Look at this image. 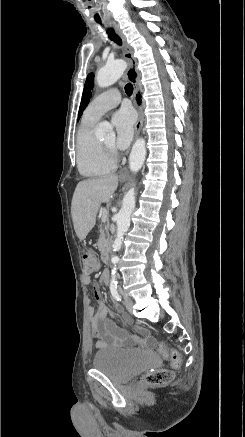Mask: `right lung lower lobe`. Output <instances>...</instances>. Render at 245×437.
Wrapping results in <instances>:
<instances>
[{"label": "right lung lower lobe", "instance_id": "1", "mask_svg": "<svg viewBox=\"0 0 245 437\" xmlns=\"http://www.w3.org/2000/svg\"><path fill=\"white\" fill-rule=\"evenodd\" d=\"M136 100L138 101L139 104L141 103L140 95L137 96V99H136Z\"/></svg>", "mask_w": 245, "mask_h": 437}]
</instances>
